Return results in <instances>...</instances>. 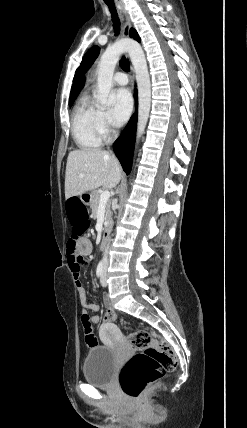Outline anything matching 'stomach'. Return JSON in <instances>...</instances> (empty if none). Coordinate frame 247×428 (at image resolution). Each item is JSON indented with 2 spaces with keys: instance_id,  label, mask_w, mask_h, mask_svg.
Here are the masks:
<instances>
[{
  "instance_id": "obj_1",
  "label": "stomach",
  "mask_w": 247,
  "mask_h": 428,
  "mask_svg": "<svg viewBox=\"0 0 247 428\" xmlns=\"http://www.w3.org/2000/svg\"><path fill=\"white\" fill-rule=\"evenodd\" d=\"M94 197V192H90V193H83L81 195V198L85 201H88V203H90L89 201L92 200V198Z\"/></svg>"
}]
</instances>
